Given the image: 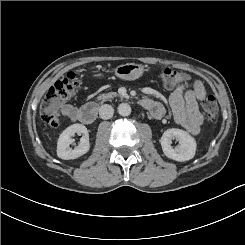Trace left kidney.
<instances>
[{
    "mask_svg": "<svg viewBox=\"0 0 245 245\" xmlns=\"http://www.w3.org/2000/svg\"><path fill=\"white\" fill-rule=\"evenodd\" d=\"M179 141V145L175 148L171 146L172 139ZM160 143L164 154L173 160L183 162L192 159L196 152V141L195 139L186 131L171 128L167 129L161 139Z\"/></svg>",
    "mask_w": 245,
    "mask_h": 245,
    "instance_id": "obj_1",
    "label": "left kidney"
}]
</instances>
